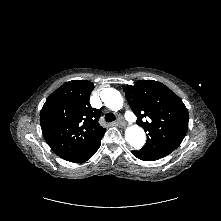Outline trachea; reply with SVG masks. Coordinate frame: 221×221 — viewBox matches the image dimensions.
Listing matches in <instances>:
<instances>
[{
    "label": "trachea",
    "instance_id": "1",
    "mask_svg": "<svg viewBox=\"0 0 221 221\" xmlns=\"http://www.w3.org/2000/svg\"><path fill=\"white\" fill-rule=\"evenodd\" d=\"M116 120V117H115V115L113 114V113H107V114H105V121L106 122H113V121H115Z\"/></svg>",
    "mask_w": 221,
    "mask_h": 221
}]
</instances>
